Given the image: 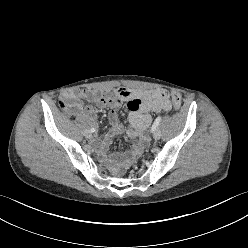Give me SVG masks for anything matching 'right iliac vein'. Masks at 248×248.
Here are the masks:
<instances>
[{"label": "right iliac vein", "instance_id": "obj_1", "mask_svg": "<svg viewBox=\"0 0 248 248\" xmlns=\"http://www.w3.org/2000/svg\"><path fill=\"white\" fill-rule=\"evenodd\" d=\"M84 135L86 138H91L92 134L90 130H85Z\"/></svg>", "mask_w": 248, "mask_h": 248}]
</instances>
